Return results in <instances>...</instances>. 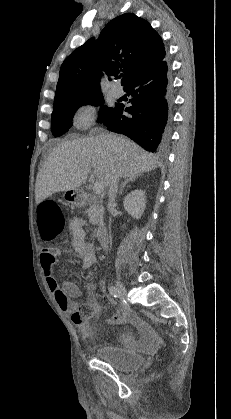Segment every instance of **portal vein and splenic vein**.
Wrapping results in <instances>:
<instances>
[{
  "mask_svg": "<svg viewBox=\"0 0 231 419\" xmlns=\"http://www.w3.org/2000/svg\"><path fill=\"white\" fill-rule=\"evenodd\" d=\"M92 189L95 194H101L104 190V187L101 182L96 181L93 183Z\"/></svg>",
  "mask_w": 231,
  "mask_h": 419,
  "instance_id": "portal-vein-and-splenic-vein-1",
  "label": "portal vein and splenic vein"
}]
</instances>
